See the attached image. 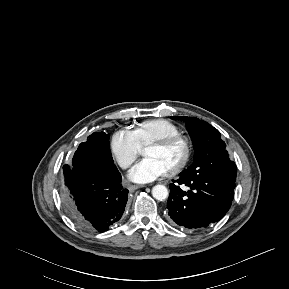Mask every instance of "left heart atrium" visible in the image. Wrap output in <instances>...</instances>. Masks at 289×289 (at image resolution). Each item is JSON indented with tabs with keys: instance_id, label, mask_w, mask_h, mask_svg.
Returning <instances> with one entry per match:
<instances>
[{
	"instance_id": "39dd6f15",
	"label": "left heart atrium",
	"mask_w": 289,
	"mask_h": 289,
	"mask_svg": "<svg viewBox=\"0 0 289 289\" xmlns=\"http://www.w3.org/2000/svg\"><path fill=\"white\" fill-rule=\"evenodd\" d=\"M167 173L166 168L154 158H145L130 171L129 178L138 183L151 182Z\"/></svg>"
}]
</instances>
